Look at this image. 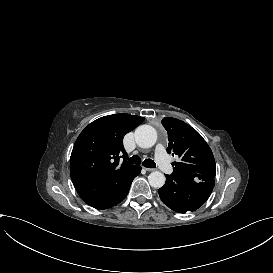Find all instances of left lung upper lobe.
I'll return each instance as SVG.
<instances>
[{
	"instance_id": "5c2ea615",
	"label": "left lung upper lobe",
	"mask_w": 273,
	"mask_h": 273,
	"mask_svg": "<svg viewBox=\"0 0 273 273\" xmlns=\"http://www.w3.org/2000/svg\"><path fill=\"white\" fill-rule=\"evenodd\" d=\"M162 125L168 132L167 152L181 159L173 164V173L195 181L214 180L215 159L202 136L190 125L175 118H163Z\"/></svg>"
}]
</instances>
